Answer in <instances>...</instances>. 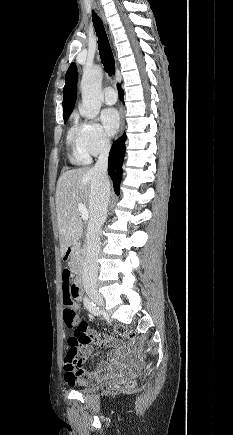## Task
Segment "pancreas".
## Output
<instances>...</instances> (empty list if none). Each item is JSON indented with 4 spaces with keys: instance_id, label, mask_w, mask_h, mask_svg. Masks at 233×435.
I'll return each mask as SVG.
<instances>
[{
    "instance_id": "cf45deb5",
    "label": "pancreas",
    "mask_w": 233,
    "mask_h": 435,
    "mask_svg": "<svg viewBox=\"0 0 233 435\" xmlns=\"http://www.w3.org/2000/svg\"><path fill=\"white\" fill-rule=\"evenodd\" d=\"M83 261L84 251L81 248L77 247L72 251L71 258L68 264L74 271H77L82 267Z\"/></svg>"
}]
</instances>
